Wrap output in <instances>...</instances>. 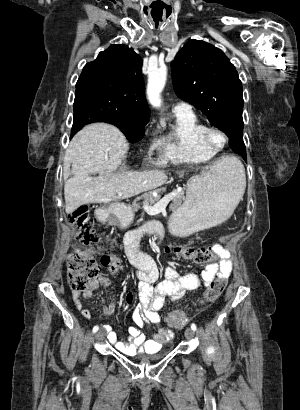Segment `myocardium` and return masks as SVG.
Listing matches in <instances>:
<instances>
[{
  "mask_svg": "<svg viewBox=\"0 0 300 410\" xmlns=\"http://www.w3.org/2000/svg\"><path fill=\"white\" fill-rule=\"evenodd\" d=\"M213 132L219 133L223 137L224 142H223L222 145L215 146L211 142L210 136ZM201 138H202V143L205 147H207V148H209L213 151H216V152H219V151L223 150L229 143L228 134L222 128H220L218 126H206L204 128L203 132H202Z\"/></svg>",
  "mask_w": 300,
  "mask_h": 410,
  "instance_id": "obj_1",
  "label": "myocardium"
}]
</instances>
